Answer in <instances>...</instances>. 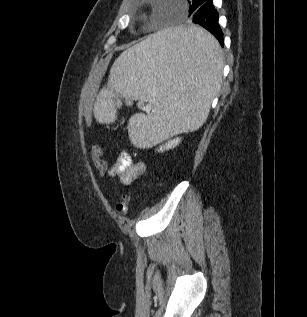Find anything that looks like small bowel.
I'll return each mask as SVG.
<instances>
[{"mask_svg":"<svg viewBox=\"0 0 307 317\" xmlns=\"http://www.w3.org/2000/svg\"><path fill=\"white\" fill-rule=\"evenodd\" d=\"M146 167L142 162H134L131 156L123 151L115 163L108 169L107 174L115 178L123 186L136 182L145 172Z\"/></svg>","mask_w":307,"mask_h":317,"instance_id":"1","label":"small bowel"}]
</instances>
